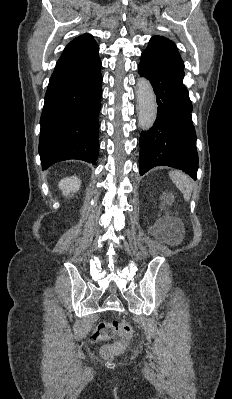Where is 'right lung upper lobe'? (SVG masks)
Wrapping results in <instances>:
<instances>
[{
    "mask_svg": "<svg viewBox=\"0 0 232 399\" xmlns=\"http://www.w3.org/2000/svg\"><path fill=\"white\" fill-rule=\"evenodd\" d=\"M98 50L99 47L93 39V36L84 34L72 40L66 46L61 56L93 54L97 53Z\"/></svg>",
    "mask_w": 232,
    "mask_h": 399,
    "instance_id": "right-lung-upper-lobe-1",
    "label": "right lung upper lobe"
}]
</instances>
